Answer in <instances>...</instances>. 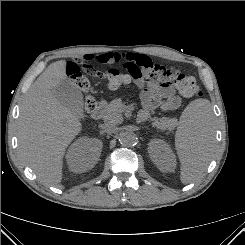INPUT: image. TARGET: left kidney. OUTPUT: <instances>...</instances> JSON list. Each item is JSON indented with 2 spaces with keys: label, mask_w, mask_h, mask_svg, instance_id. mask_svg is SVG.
Returning a JSON list of instances; mask_svg holds the SVG:
<instances>
[{
  "label": "left kidney",
  "mask_w": 245,
  "mask_h": 245,
  "mask_svg": "<svg viewBox=\"0 0 245 245\" xmlns=\"http://www.w3.org/2000/svg\"><path fill=\"white\" fill-rule=\"evenodd\" d=\"M151 160L161 171H173L176 166L175 155L169 145L161 139L151 140L148 146Z\"/></svg>",
  "instance_id": "5707ae66"
}]
</instances>
